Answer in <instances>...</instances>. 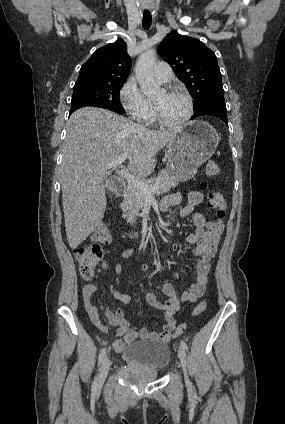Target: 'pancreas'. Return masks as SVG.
Here are the masks:
<instances>
[{
	"label": "pancreas",
	"mask_w": 285,
	"mask_h": 424,
	"mask_svg": "<svg viewBox=\"0 0 285 424\" xmlns=\"http://www.w3.org/2000/svg\"><path fill=\"white\" fill-rule=\"evenodd\" d=\"M149 186L158 185L160 188L153 194H162L168 192L171 188L176 187L178 181L175 177L170 176L167 170L162 171L153 180L146 181ZM146 196L143 192L133 186L128 187L121 208L124 211L123 218L127 219L128 223L133 224L136 221V216L139 215V210L143 207Z\"/></svg>",
	"instance_id": "1"
}]
</instances>
